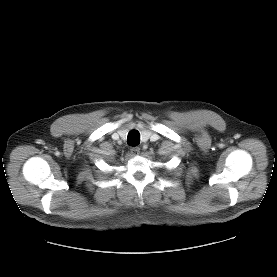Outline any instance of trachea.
I'll return each instance as SVG.
<instances>
[{
  "label": "trachea",
  "instance_id": "trachea-1",
  "mask_svg": "<svg viewBox=\"0 0 277 277\" xmlns=\"http://www.w3.org/2000/svg\"><path fill=\"white\" fill-rule=\"evenodd\" d=\"M127 143L130 146H137L140 143V133L137 130H131L128 133Z\"/></svg>",
  "mask_w": 277,
  "mask_h": 277
}]
</instances>
